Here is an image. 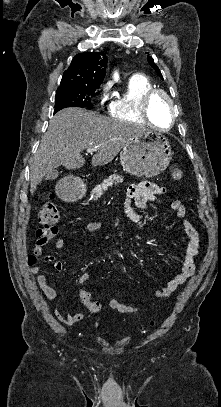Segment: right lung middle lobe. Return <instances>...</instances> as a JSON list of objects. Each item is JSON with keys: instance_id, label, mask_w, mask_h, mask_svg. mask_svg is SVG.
Masks as SVG:
<instances>
[{"instance_id": "dd1d6c3e", "label": "right lung middle lobe", "mask_w": 221, "mask_h": 407, "mask_svg": "<svg viewBox=\"0 0 221 407\" xmlns=\"http://www.w3.org/2000/svg\"><path fill=\"white\" fill-rule=\"evenodd\" d=\"M96 89L86 87L58 88L55 95L54 113L66 107H93L90 96Z\"/></svg>"}]
</instances>
